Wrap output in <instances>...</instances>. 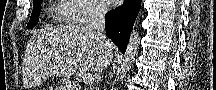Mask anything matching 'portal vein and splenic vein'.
<instances>
[{
  "instance_id": "portal-vein-and-splenic-vein-1",
  "label": "portal vein and splenic vein",
  "mask_w": 216,
  "mask_h": 90,
  "mask_svg": "<svg viewBox=\"0 0 216 90\" xmlns=\"http://www.w3.org/2000/svg\"><path fill=\"white\" fill-rule=\"evenodd\" d=\"M83 80L84 84H87V86H91V84L94 82V78L91 76V74H85V76H83Z\"/></svg>"
}]
</instances>
